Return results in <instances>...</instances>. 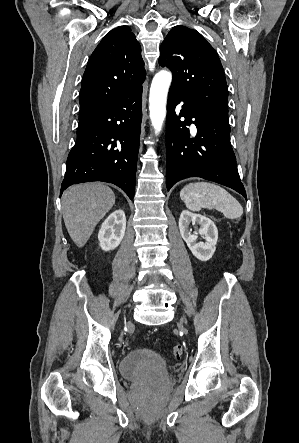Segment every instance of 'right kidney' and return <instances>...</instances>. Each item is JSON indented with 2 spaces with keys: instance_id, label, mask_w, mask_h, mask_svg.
I'll return each mask as SVG.
<instances>
[{
  "instance_id": "obj_1",
  "label": "right kidney",
  "mask_w": 299,
  "mask_h": 443,
  "mask_svg": "<svg viewBox=\"0 0 299 443\" xmlns=\"http://www.w3.org/2000/svg\"><path fill=\"white\" fill-rule=\"evenodd\" d=\"M126 230V217L123 210L111 213L102 223L98 233L100 247L104 251L113 250L121 243Z\"/></svg>"
}]
</instances>
